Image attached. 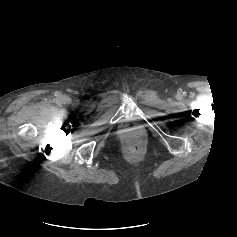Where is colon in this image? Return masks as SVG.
Instances as JSON below:
<instances>
[{"mask_svg": "<svg viewBox=\"0 0 237 237\" xmlns=\"http://www.w3.org/2000/svg\"><path fill=\"white\" fill-rule=\"evenodd\" d=\"M128 149H129L130 151H136V150L139 149V144H138L136 141H130V142L128 143Z\"/></svg>", "mask_w": 237, "mask_h": 237, "instance_id": "5ec220e1", "label": "colon"}]
</instances>
